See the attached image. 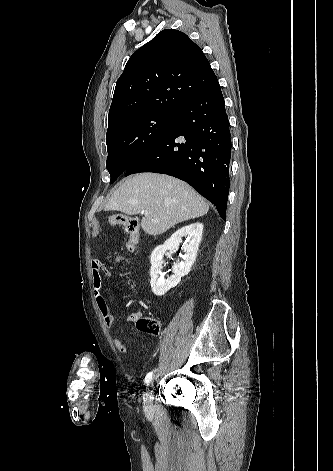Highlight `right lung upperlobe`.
<instances>
[{"instance_id":"cb5924a9","label":"right lung upper lobe","mask_w":333,"mask_h":471,"mask_svg":"<svg viewBox=\"0 0 333 471\" xmlns=\"http://www.w3.org/2000/svg\"><path fill=\"white\" fill-rule=\"evenodd\" d=\"M217 81L197 44L183 32L163 30L128 60L116 83L108 125L144 111L176 113Z\"/></svg>"}]
</instances>
